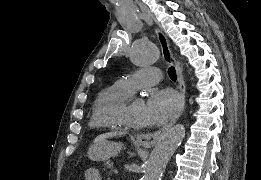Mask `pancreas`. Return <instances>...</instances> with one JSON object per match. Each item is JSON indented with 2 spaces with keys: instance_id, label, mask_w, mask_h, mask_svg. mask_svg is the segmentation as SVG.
Masks as SVG:
<instances>
[{
  "instance_id": "obj_1",
  "label": "pancreas",
  "mask_w": 261,
  "mask_h": 180,
  "mask_svg": "<svg viewBox=\"0 0 261 180\" xmlns=\"http://www.w3.org/2000/svg\"><path fill=\"white\" fill-rule=\"evenodd\" d=\"M110 163H111V160H110V159H105V160H104L103 169H104V170H109V169H110V166H109Z\"/></svg>"
}]
</instances>
